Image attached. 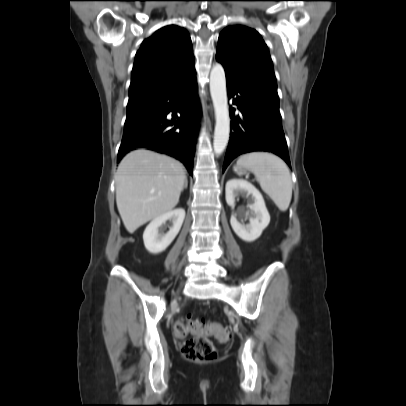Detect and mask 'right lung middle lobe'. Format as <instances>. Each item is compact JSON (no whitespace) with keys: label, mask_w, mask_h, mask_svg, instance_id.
Instances as JSON below:
<instances>
[{"label":"right lung middle lobe","mask_w":406,"mask_h":406,"mask_svg":"<svg viewBox=\"0 0 406 406\" xmlns=\"http://www.w3.org/2000/svg\"><path fill=\"white\" fill-rule=\"evenodd\" d=\"M149 115L147 105L145 102L127 106V118L125 127L134 125Z\"/></svg>","instance_id":"right-lung-middle-lobe-1"}]
</instances>
